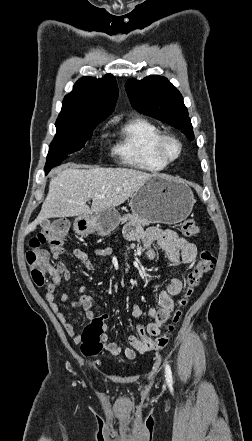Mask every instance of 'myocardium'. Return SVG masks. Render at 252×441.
Listing matches in <instances>:
<instances>
[{
	"label": "myocardium",
	"mask_w": 252,
	"mask_h": 441,
	"mask_svg": "<svg viewBox=\"0 0 252 441\" xmlns=\"http://www.w3.org/2000/svg\"><path fill=\"white\" fill-rule=\"evenodd\" d=\"M170 142L175 143L178 147L177 154L174 157L168 156L165 151V147L167 143ZM154 152L161 161H163L166 164H170L177 161L181 157L183 152V145L177 137L171 134L161 133V135L158 137V139L154 144Z\"/></svg>",
	"instance_id": "f54148a6"
}]
</instances>
